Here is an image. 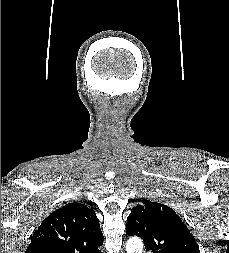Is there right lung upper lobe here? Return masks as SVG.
<instances>
[{"label": "right lung upper lobe", "mask_w": 229, "mask_h": 253, "mask_svg": "<svg viewBox=\"0 0 229 253\" xmlns=\"http://www.w3.org/2000/svg\"><path fill=\"white\" fill-rule=\"evenodd\" d=\"M100 245L103 235L94 210L73 202L41 223L25 253H101Z\"/></svg>", "instance_id": "1"}]
</instances>
